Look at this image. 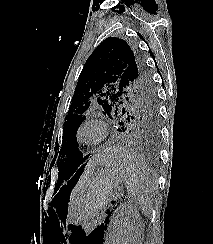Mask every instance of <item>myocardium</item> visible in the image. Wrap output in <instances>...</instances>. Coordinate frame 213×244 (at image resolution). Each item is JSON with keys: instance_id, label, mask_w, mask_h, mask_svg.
<instances>
[{"instance_id": "1", "label": "myocardium", "mask_w": 213, "mask_h": 244, "mask_svg": "<svg viewBox=\"0 0 213 244\" xmlns=\"http://www.w3.org/2000/svg\"><path fill=\"white\" fill-rule=\"evenodd\" d=\"M96 127L99 130V136L94 139V140H85L82 136V133L84 131V129L88 128V127ZM108 135V127H107V123L97 117H89L87 119H85L84 121H82L80 123V125L77 128V132H76V137L77 140L85 145H89V146H94V145H98L101 142H103L105 140V138Z\"/></svg>"}]
</instances>
